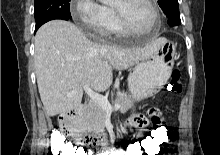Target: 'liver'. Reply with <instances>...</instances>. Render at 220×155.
<instances>
[{
	"mask_svg": "<svg viewBox=\"0 0 220 155\" xmlns=\"http://www.w3.org/2000/svg\"><path fill=\"white\" fill-rule=\"evenodd\" d=\"M160 40L142 49H121L90 41L73 23L52 20L35 36L34 64L47 116L63 114L81 104L83 84L105 91L113 70H125L151 57ZM74 95L68 96L70 92Z\"/></svg>",
	"mask_w": 220,
	"mask_h": 155,
	"instance_id": "1",
	"label": "liver"
}]
</instances>
